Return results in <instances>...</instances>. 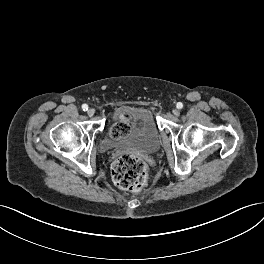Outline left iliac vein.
<instances>
[{
  "label": "left iliac vein",
  "mask_w": 264,
  "mask_h": 264,
  "mask_svg": "<svg viewBox=\"0 0 264 264\" xmlns=\"http://www.w3.org/2000/svg\"><path fill=\"white\" fill-rule=\"evenodd\" d=\"M173 114H174L175 116H178V115L180 114V112H179V110L174 109V110H173Z\"/></svg>",
  "instance_id": "obj_1"
}]
</instances>
